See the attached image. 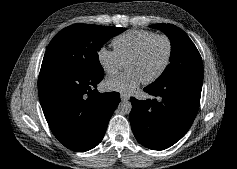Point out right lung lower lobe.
Returning a JSON list of instances; mask_svg holds the SVG:
<instances>
[{
	"mask_svg": "<svg viewBox=\"0 0 237 169\" xmlns=\"http://www.w3.org/2000/svg\"><path fill=\"white\" fill-rule=\"evenodd\" d=\"M104 73L88 76L58 69H41L40 103L48 125L67 148L84 152L97 146L120 102L117 92L99 93Z\"/></svg>",
	"mask_w": 237,
	"mask_h": 169,
	"instance_id": "obj_1",
	"label": "right lung lower lobe"
}]
</instances>
